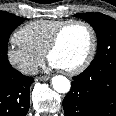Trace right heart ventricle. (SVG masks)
<instances>
[{"mask_svg":"<svg viewBox=\"0 0 116 116\" xmlns=\"http://www.w3.org/2000/svg\"><path fill=\"white\" fill-rule=\"evenodd\" d=\"M65 22L59 19H40L31 21L21 27L17 39L32 51L44 54L56 29Z\"/></svg>","mask_w":116,"mask_h":116,"instance_id":"1","label":"right heart ventricle"}]
</instances>
